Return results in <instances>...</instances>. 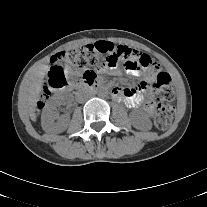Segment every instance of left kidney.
<instances>
[{
  "mask_svg": "<svg viewBox=\"0 0 207 207\" xmlns=\"http://www.w3.org/2000/svg\"><path fill=\"white\" fill-rule=\"evenodd\" d=\"M129 116L134 128L141 131H148L152 128V122L145 113L133 111Z\"/></svg>",
  "mask_w": 207,
  "mask_h": 207,
  "instance_id": "1",
  "label": "left kidney"
}]
</instances>
